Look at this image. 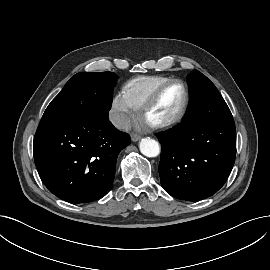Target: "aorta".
Returning <instances> with one entry per match:
<instances>
[{"instance_id":"1","label":"aorta","mask_w":270,"mask_h":270,"mask_svg":"<svg viewBox=\"0 0 270 270\" xmlns=\"http://www.w3.org/2000/svg\"><path fill=\"white\" fill-rule=\"evenodd\" d=\"M140 152L146 157H156L160 153V146L157 141L151 138H143L139 143Z\"/></svg>"}]
</instances>
